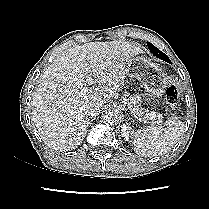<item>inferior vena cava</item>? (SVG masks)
I'll use <instances>...</instances> for the list:
<instances>
[{"label": "inferior vena cava", "instance_id": "obj_1", "mask_svg": "<svg viewBox=\"0 0 209 209\" xmlns=\"http://www.w3.org/2000/svg\"><path fill=\"white\" fill-rule=\"evenodd\" d=\"M101 106L99 105V104H97V105H94V106H92L91 108H90V110H89V115H91V116H96V115H98L100 112H101Z\"/></svg>", "mask_w": 209, "mask_h": 209}]
</instances>
